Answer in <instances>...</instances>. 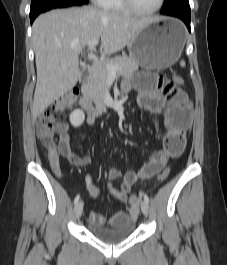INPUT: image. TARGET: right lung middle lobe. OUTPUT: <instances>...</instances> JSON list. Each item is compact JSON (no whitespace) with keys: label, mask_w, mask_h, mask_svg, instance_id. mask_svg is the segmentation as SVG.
Here are the masks:
<instances>
[{"label":"right lung middle lobe","mask_w":227,"mask_h":265,"mask_svg":"<svg viewBox=\"0 0 227 265\" xmlns=\"http://www.w3.org/2000/svg\"><path fill=\"white\" fill-rule=\"evenodd\" d=\"M65 1H82L88 3V0H32L30 15L44 12L47 9H49L51 6L55 5L56 3L65 2Z\"/></svg>","instance_id":"1"}]
</instances>
